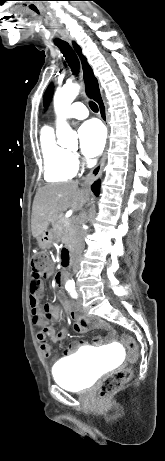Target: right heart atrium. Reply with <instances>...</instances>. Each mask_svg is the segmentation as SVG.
Instances as JSON below:
<instances>
[{"label": "right heart atrium", "instance_id": "obj_1", "mask_svg": "<svg viewBox=\"0 0 165 461\" xmlns=\"http://www.w3.org/2000/svg\"><path fill=\"white\" fill-rule=\"evenodd\" d=\"M72 158H73V161H74L75 163H78L79 160H78V156H77L76 154H73V155H72Z\"/></svg>", "mask_w": 165, "mask_h": 461}]
</instances>
